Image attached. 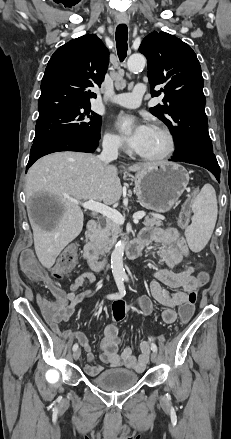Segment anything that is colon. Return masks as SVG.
Returning <instances> with one entry per match:
<instances>
[{
    "label": "colon",
    "mask_w": 231,
    "mask_h": 439,
    "mask_svg": "<svg viewBox=\"0 0 231 439\" xmlns=\"http://www.w3.org/2000/svg\"><path fill=\"white\" fill-rule=\"evenodd\" d=\"M190 222V204L187 202L184 204L179 217L178 224L181 228H186ZM77 261V250L75 246L69 245L67 246L60 256L58 257L54 267H53V275L55 278H62L64 275L69 273L75 266ZM21 267L24 272H26L29 276L34 279L41 280L43 278V272L34 256V254L25 250L21 253L20 256ZM196 268L201 270L203 268L202 263H197ZM198 282H201L202 285H206L209 282V276L205 273H198L196 276ZM202 285H199V288H202ZM60 289L56 287L51 288V292L53 296L56 298ZM192 293H188L185 301L180 303L178 315L179 320L182 323H191L192 317L194 316L195 304L198 300L197 289H192ZM38 304L41 306L43 312L44 320H52L56 317V299L55 301L49 300L47 297H40L38 299ZM128 313L127 304L122 301H115L112 306V317L115 321H122Z\"/></svg>",
    "instance_id": "obj_1"
}]
</instances>
